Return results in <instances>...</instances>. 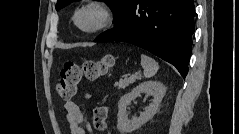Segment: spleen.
<instances>
[{
    "label": "spleen",
    "mask_w": 239,
    "mask_h": 134,
    "mask_svg": "<svg viewBox=\"0 0 239 134\" xmlns=\"http://www.w3.org/2000/svg\"><path fill=\"white\" fill-rule=\"evenodd\" d=\"M141 66L144 69L145 78H151L159 69L158 63L152 57L145 54H141Z\"/></svg>",
    "instance_id": "spleen-1"
}]
</instances>
